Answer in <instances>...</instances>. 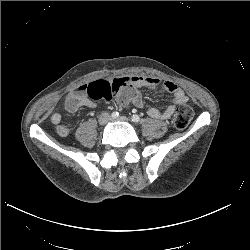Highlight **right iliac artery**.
Listing matches in <instances>:
<instances>
[{
    "label": "right iliac artery",
    "instance_id": "obj_1",
    "mask_svg": "<svg viewBox=\"0 0 250 250\" xmlns=\"http://www.w3.org/2000/svg\"><path fill=\"white\" fill-rule=\"evenodd\" d=\"M112 118H117L119 116V113L118 112H113L111 114Z\"/></svg>",
    "mask_w": 250,
    "mask_h": 250
}]
</instances>
